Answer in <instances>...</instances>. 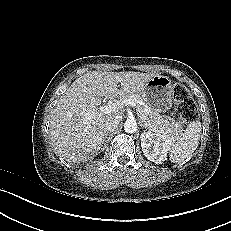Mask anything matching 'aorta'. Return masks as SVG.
Masks as SVG:
<instances>
[{
  "mask_svg": "<svg viewBox=\"0 0 231 231\" xmlns=\"http://www.w3.org/2000/svg\"><path fill=\"white\" fill-rule=\"evenodd\" d=\"M137 122L134 119H127L124 123V130L126 133L132 134L137 131Z\"/></svg>",
  "mask_w": 231,
  "mask_h": 231,
  "instance_id": "1",
  "label": "aorta"
}]
</instances>
